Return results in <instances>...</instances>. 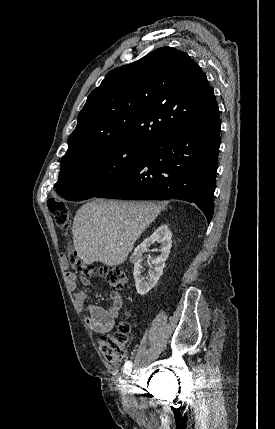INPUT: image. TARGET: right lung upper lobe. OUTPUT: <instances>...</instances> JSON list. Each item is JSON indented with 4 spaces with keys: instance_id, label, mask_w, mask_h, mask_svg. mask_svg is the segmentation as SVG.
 Wrapping results in <instances>:
<instances>
[{
    "instance_id": "right-lung-upper-lobe-1",
    "label": "right lung upper lobe",
    "mask_w": 275,
    "mask_h": 429,
    "mask_svg": "<svg viewBox=\"0 0 275 429\" xmlns=\"http://www.w3.org/2000/svg\"><path fill=\"white\" fill-rule=\"evenodd\" d=\"M219 117L206 74L187 53L162 47L105 76L80 111L61 164L117 144L150 145Z\"/></svg>"
}]
</instances>
